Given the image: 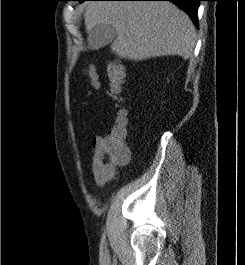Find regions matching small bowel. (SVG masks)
I'll return each instance as SVG.
<instances>
[{
  "label": "small bowel",
  "mask_w": 245,
  "mask_h": 265,
  "mask_svg": "<svg viewBox=\"0 0 245 265\" xmlns=\"http://www.w3.org/2000/svg\"><path fill=\"white\" fill-rule=\"evenodd\" d=\"M102 142H103V137L98 136V137L94 138V140H93V154H94L95 150L102 144ZM93 174H94L95 181L97 182L98 185H104L110 179V176L108 174L98 170L97 168H95L94 165H93Z\"/></svg>",
  "instance_id": "1"
}]
</instances>
